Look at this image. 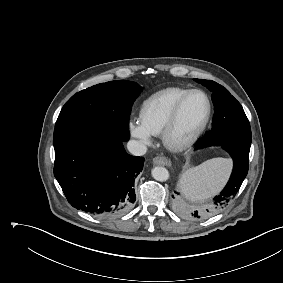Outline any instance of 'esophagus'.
Instances as JSON below:
<instances>
[{
	"instance_id": "1",
	"label": "esophagus",
	"mask_w": 283,
	"mask_h": 283,
	"mask_svg": "<svg viewBox=\"0 0 283 283\" xmlns=\"http://www.w3.org/2000/svg\"><path fill=\"white\" fill-rule=\"evenodd\" d=\"M154 165H162V166H169L171 165L170 159L165 156H157L153 159Z\"/></svg>"
}]
</instances>
